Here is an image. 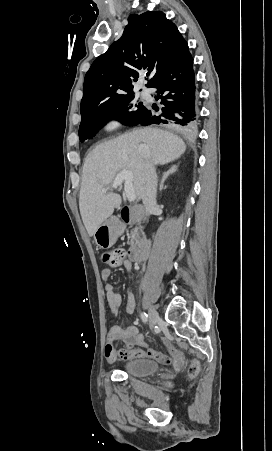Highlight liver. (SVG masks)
<instances>
[{"mask_svg": "<svg viewBox=\"0 0 272 451\" xmlns=\"http://www.w3.org/2000/svg\"><path fill=\"white\" fill-rule=\"evenodd\" d=\"M185 150L181 138L157 128H135L96 146L85 160L79 194L80 214L89 235H94L122 202L119 194L102 192L112 184L117 172H132L135 194L141 200L147 172L144 156H150L151 164L163 166L180 158Z\"/></svg>", "mask_w": 272, "mask_h": 451, "instance_id": "6515ba94", "label": "liver"}]
</instances>
